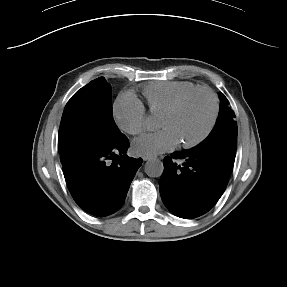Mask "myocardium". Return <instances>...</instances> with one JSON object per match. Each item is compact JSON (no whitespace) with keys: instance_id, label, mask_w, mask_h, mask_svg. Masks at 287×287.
Wrapping results in <instances>:
<instances>
[{"instance_id":"1","label":"myocardium","mask_w":287,"mask_h":287,"mask_svg":"<svg viewBox=\"0 0 287 287\" xmlns=\"http://www.w3.org/2000/svg\"><path fill=\"white\" fill-rule=\"evenodd\" d=\"M198 93H205L209 97L211 104H212L211 116H210V120L208 122L207 127L198 137H196L195 139L191 141L180 142V145L186 149L196 147L197 145L205 141L208 138V136L211 134L216 124L218 113H219V104H218V99L215 93L207 87H196L190 90L189 92L185 93L183 96H181L171 107H169L162 114V116H172L176 114L189 99H191L193 96H195Z\"/></svg>"}]
</instances>
